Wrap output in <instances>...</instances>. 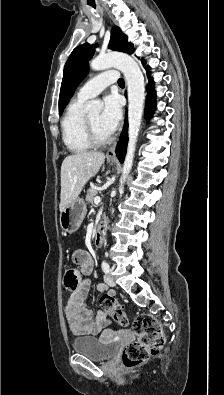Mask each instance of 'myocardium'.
I'll list each match as a JSON object with an SVG mask.
<instances>
[{
    "mask_svg": "<svg viewBox=\"0 0 224 395\" xmlns=\"http://www.w3.org/2000/svg\"><path fill=\"white\" fill-rule=\"evenodd\" d=\"M85 130H86V135L93 146H103L111 142L112 140V135H108L106 137H100L96 133L88 115H85Z\"/></svg>",
    "mask_w": 224,
    "mask_h": 395,
    "instance_id": "obj_1",
    "label": "myocardium"
}]
</instances>
